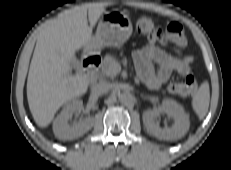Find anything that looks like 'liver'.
<instances>
[{"label":"liver","instance_id":"6515ba94","mask_svg":"<svg viewBox=\"0 0 231 170\" xmlns=\"http://www.w3.org/2000/svg\"><path fill=\"white\" fill-rule=\"evenodd\" d=\"M104 12L98 5L77 6L50 20L40 33L27 79L29 109L39 127H47L63 104L87 92L89 80L73 75L71 63L77 51L91 44L93 27Z\"/></svg>","mask_w":231,"mask_h":170}]
</instances>
